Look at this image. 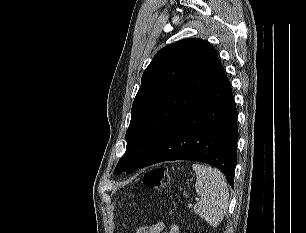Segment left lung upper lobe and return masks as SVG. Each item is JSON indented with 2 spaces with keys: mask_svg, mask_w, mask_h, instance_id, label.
I'll return each mask as SVG.
<instances>
[{
  "mask_svg": "<svg viewBox=\"0 0 306 233\" xmlns=\"http://www.w3.org/2000/svg\"><path fill=\"white\" fill-rule=\"evenodd\" d=\"M222 71L215 48L198 38L158 51L143 73L126 132V152L114 172L139 168Z\"/></svg>",
  "mask_w": 306,
  "mask_h": 233,
  "instance_id": "obj_1",
  "label": "left lung upper lobe"
}]
</instances>
